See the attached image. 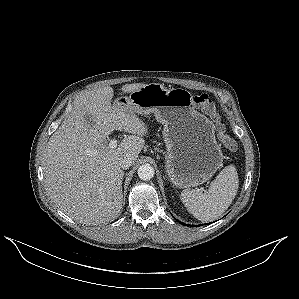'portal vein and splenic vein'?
Wrapping results in <instances>:
<instances>
[{"label": "portal vein and splenic vein", "mask_w": 299, "mask_h": 299, "mask_svg": "<svg viewBox=\"0 0 299 299\" xmlns=\"http://www.w3.org/2000/svg\"><path fill=\"white\" fill-rule=\"evenodd\" d=\"M117 147V140L113 139L109 142V148L114 149ZM97 151H92V154H96Z\"/></svg>", "instance_id": "18ae733b"}]
</instances>
